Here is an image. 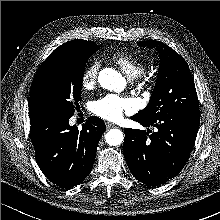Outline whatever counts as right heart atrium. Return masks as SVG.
I'll list each match as a JSON object with an SVG mask.
<instances>
[{
  "label": "right heart atrium",
  "instance_id": "obj_1",
  "mask_svg": "<svg viewBox=\"0 0 220 220\" xmlns=\"http://www.w3.org/2000/svg\"><path fill=\"white\" fill-rule=\"evenodd\" d=\"M100 63L97 60H93L84 69L81 76V85L84 90H90L95 87L98 80Z\"/></svg>",
  "mask_w": 220,
  "mask_h": 220
}]
</instances>
